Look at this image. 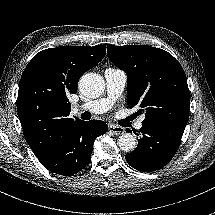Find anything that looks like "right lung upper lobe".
Segmentation results:
<instances>
[{"label": "right lung upper lobe", "mask_w": 215, "mask_h": 215, "mask_svg": "<svg viewBox=\"0 0 215 215\" xmlns=\"http://www.w3.org/2000/svg\"><path fill=\"white\" fill-rule=\"evenodd\" d=\"M106 45L61 46L37 53L19 83L18 116L27 143L42 159L75 120L69 94H75L82 74L99 63Z\"/></svg>", "instance_id": "1"}]
</instances>
